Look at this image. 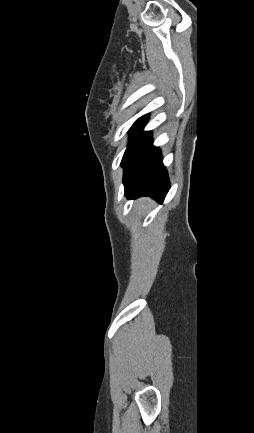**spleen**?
<instances>
[{
    "label": "spleen",
    "mask_w": 254,
    "mask_h": 433,
    "mask_svg": "<svg viewBox=\"0 0 254 433\" xmlns=\"http://www.w3.org/2000/svg\"><path fill=\"white\" fill-rule=\"evenodd\" d=\"M140 207H142L143 209H146V206H144V205H141Z\"/></svg>",
    "instance_id": "1"
}]
</instances>
